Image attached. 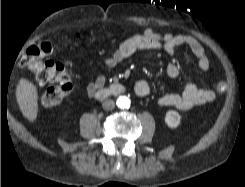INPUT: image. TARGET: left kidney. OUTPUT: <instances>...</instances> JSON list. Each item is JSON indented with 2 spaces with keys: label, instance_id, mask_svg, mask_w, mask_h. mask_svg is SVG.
<instances>
[{
  "label": "left kidney",
  "instance_id": "5707ae66",
  "mask_svg": "<svg viewBox=\"0 0 245 187\" xmlns=\"http://www.w3.org/2000/svg\"><path fill=\"white\" fill-rule=\"evenodd\" d=\"M180 119H181V116L177 111L169 110L166 112L164 120L168 127L176 128L180 124Z\"/></svg>",
  "mask_w": 245,
  "mask_h": 187
}]
</instances>
